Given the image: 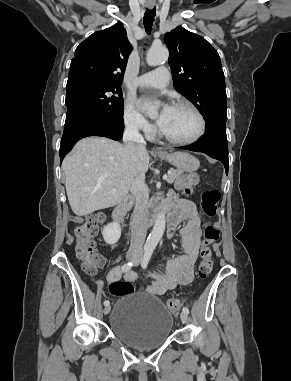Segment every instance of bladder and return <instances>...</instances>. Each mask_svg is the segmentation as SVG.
<instances>
[{
    "label": "bladder",
    "instance_id": "bladder-1",
    "mask_svg": "<svg viewBox=\"0 0 291 381\" xmlns=\"http://www.w3.org/2000/svg\"><path fill=\"white\" fill-rule=\"evenodd\" d=\"M109 324L118 339L147 350L161 346L170 337L173 316L157 296L141 292L121 296L114 303Z\"/></svg>",
    "mask_w": 291,
    "mask_h": 381
}]
</instances>
